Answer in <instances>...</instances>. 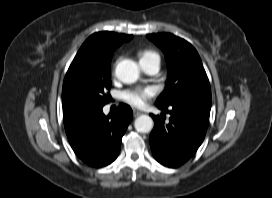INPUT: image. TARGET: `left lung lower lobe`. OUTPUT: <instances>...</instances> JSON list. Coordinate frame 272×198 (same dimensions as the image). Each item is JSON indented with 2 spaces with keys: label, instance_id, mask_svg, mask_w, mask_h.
<instances>
[{
  "label": "left lung lower lobe",
  "instance_id": "left-lung-lower-lobe-1",
  "mask_svg": "<svg viewBox=\"0 0 272 198\" xmlns=\"http://www.w3.org/2000/svg\"><path fill=\"white\" fill-rule=\"evenodd\" d=\"M165 114L152 115L154 128L150 145L155 159L164 166L178 167L191 158L204 140L211 106L192 103L156 104Z\"/></svg>",
  "mask_w": 272,
  "mask_h": 198
}]
</instances>
